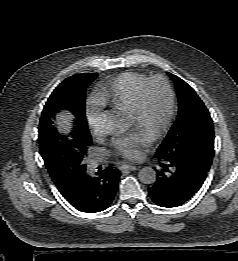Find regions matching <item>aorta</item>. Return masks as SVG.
Segmentation results:
<instances>
[{
	"mask_svg": "<svg viewBox=\"0 0 238 261\" xmlns=\"http://www.w3.org/2000/svg\"><path fill=\"white\" fill-rule=\"evenodd\" d=\"M129 127V121L121 115L107 113L102 118V130L107 134L121 133ZM138 177L144 184H153L156 181V172L151 167H144L139 171Z\"/></svg>",
	"mask_w": 238,
	"mask_h": 261,
	"instance_id": "762f6f07",
	"label": "aorta"
}]
</instances>
